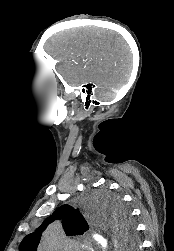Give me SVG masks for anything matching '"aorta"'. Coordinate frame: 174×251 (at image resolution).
I'll return each mask as SVG.
<instances>
[{
	"mask_svg": "<svg viewBox=\"0 0 174 251\" xmlns=\"http://www.w3.org/2000/svg\"><path fill=\"white\" fill-rule=\"evenodd\" d=\"M92 221L96 223L100 229H111L112 236L114 237V248L116 251H134V247L131 244H128V242H126V240L123 238L122 232L119 231L112 217L110 219L101 218L98 221L93 219ZM94 237L97 241H99V243H101L104 249L107 248V243L98 234H95ZM63 242V235L60 228L58 226H51L43 235V250H61Z\"/></svg>",
	"mask_w": 174,
	"mask_h": 251,
	"instance_id": "762f6f07",
	"label": "aorta"
}]
</instances>
